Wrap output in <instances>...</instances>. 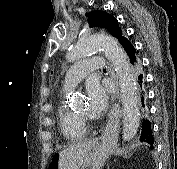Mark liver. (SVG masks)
I'll return each mask as SVG.
<instances>
[{
	"label": "liver",
	"instance_id": "obj_1",
	"mask_svg": "<svg viewBox=\"0 0 177 169\" xmlns=\"http://www.w3.org/2000/svg\"><path fill=\"white\" fill-rule=\"evenodd\" d=\"M98 140H88L69 146L59 153L58 169H80Z\"/></svg>",
	"mask_w": 177,
	"mask_h": 169
}]
</instances>
